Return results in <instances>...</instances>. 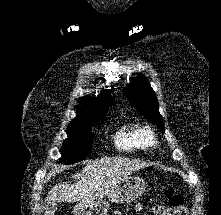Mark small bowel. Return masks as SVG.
Masks as SVG:
<instances>
[{
    "label": "small bowel",
    "mask_w": 221,
    "mask_h": 215,
    "mask_svg": "<svg viewBox=\"0 0 221 215\" xmlns=\"http://www.w3.org/2000/svg\"><path fill=\"white\" fill-rule=\"evenodd\" d=\"M134 209L136 210V211H141L142 210V205H140V204H137V205H135L134 206ZM114 215H121V213L119 212V211H117V212H115V214Z\"/></svg>",
    "instance_id": "1"
}]
</instances>
